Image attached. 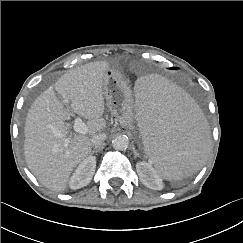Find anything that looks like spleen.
I'll use <instances>...</instances> for the list:
<instances>
[{"mask_svg":"<svg viewBox=\"0 0 243 243\" xmlns=\"http://www.w3.org/2000/svg\"><path fill=\"white\" fill-rule=\"evenodd\" d=\"M135 127L143 150L165 180H180L203 160L209 131L204 110L165 76L142 74L134 85Z\"/></svg>","mask_w":243,"mask_h":243,"instance_id":"obj_1","label":"spleen"}]
</instances>
